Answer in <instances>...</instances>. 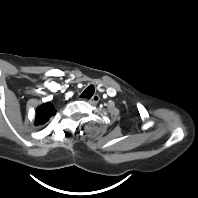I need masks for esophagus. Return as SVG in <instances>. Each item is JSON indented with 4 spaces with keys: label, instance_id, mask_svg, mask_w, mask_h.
Listing matches in <instances>:
<instances>
[{
    "label": "esophagus",
    "instance_id": "34e87169",
    "mask_svg": "<svg viewBox=\"0 0 198 198\" xmlns=\"http://www.w3.org/2000/svg\"><path fill=\"white\" fill-rule=\"evenodd\" d=\"M99 100H100V96L96 94L89 100V102L94 105L97 104Z\"/></svg>",
    "mask_w": 198,
    "mask_h": 198
}]
</instances>
